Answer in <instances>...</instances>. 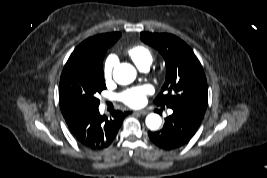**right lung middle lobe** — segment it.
<instances>
[{
  "label": "right lung middle lobe",
  "mask_w": 267,
  "mask_h": 178,
  "mask_svg": "<svg viewBox=\"0 0 267 178\" xmlns=\"http://www.w3.org/2000/svg\"><path fill=\"white\" fill-rule=\"evenodd\" d=\"M113 43H103L95 55L66 63L59 85L61 110L73 105L98 107L96 97L106 88L103 76V57Z\"/></svg>",
  "instance_id": "obj_1"
}]
</instances>
